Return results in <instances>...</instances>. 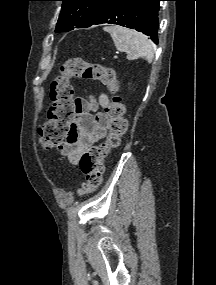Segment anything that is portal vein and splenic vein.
I'll return each mask as SVG.
<instances>
[{"label":"portal vein and splenic vein","mask_w":216,"mask_h":285,"mask_svg":"<svg viewBox=\"0 0 216 285\" xmlns=\"http://www.w3.org/2000/svg\"><path fill=\"white\" fill-rule=\"evenodd\" d=\"M114 58L116 59V58H118V56H117V55H115V56H114Z\"/></svg>","instance_id":"1"}]
</instances>
